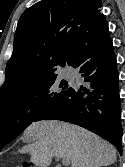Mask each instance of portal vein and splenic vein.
<instances>
[{"mask_svg": "<svg viewBox=\"0 0 125 167\" xmlns=\"http://www.w3.org/2000/svg\"><path fill=\"white\" fill-rule=\"evenodd\" d=\"M62 163L65 166H68L70 164V160L68 158H62Z\"/></svg>", "mask_w": 125, "mask_h": 167, "instance_id": "portal-vein-and-splenic-vein-1", "label": "portal vein and splenic vein"}]
</instances>
